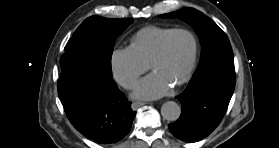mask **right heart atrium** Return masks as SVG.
<instances>
[{"mask_svg":"<svg viewBox=\"0 0 279 148\" xmlns=\"http://www.w3.org/2000/svg\"><path fill=\"white\" fill-rule=\"evenodd\" d=\"M111 68L115 80L125 88H132L146 72L148 65L131 47L117 48L111 56Z\"/></svg>","mask_w":279,"mask_h":148,"instance_id":"1","label":"right heart atrium"}]
</instances>
